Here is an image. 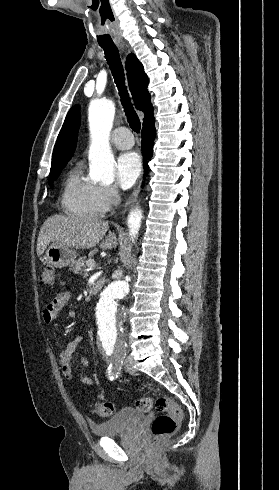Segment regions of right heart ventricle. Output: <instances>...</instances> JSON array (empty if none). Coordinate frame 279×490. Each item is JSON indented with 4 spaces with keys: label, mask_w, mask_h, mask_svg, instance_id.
Masks as SVG:
<instances>
[{
    "label": "right heart ventricle",
    "mask_w": 279,
    "mask_h": 490,
    "mask_svg": "<svg viewBox=\"0 0 279 490\" xmlns=\"http://www.w3.org/2000/svg\"><path fill=\"white\" fill-rule=\"evenodd\" d=\"M95 186L82 180L76 168L65 179L62 204L65 212L80 219H94L98 215L94 206Z\"/></svg>",
    "instance_id": "1"
}]
</instances>
